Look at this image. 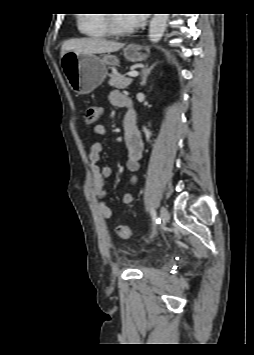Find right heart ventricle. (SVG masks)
Masks as SVG:
<instances>
[{
  "label": "right heart ventricle",
  "mask_w": 254,
  "mask_h": 355,
  "mask_svg": "<svg viewBox=\"0 0 254 355\" xmlns=\"http://www.w3.org/2000/svg\"><path fill=\"white\" fill-rule=\"evenodd\" d=\"M105 14L103 12L81 14L77 20L79 31L94 39L108 37Z\"/></svg>",
  "instance_id": "e07e8e85"
}]
</instances>
